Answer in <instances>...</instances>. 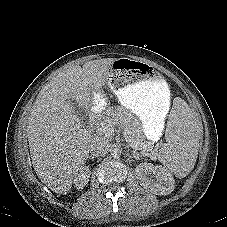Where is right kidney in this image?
Instances as JSON below:
<instances>
[{
  "label": "right kidney",
  "mask_w": 227,
  "mask_h": 227,
  "mask_svg": "<svg viewBox=\"0 0 227 227\" xmlns=\"http://www.w3.org/2000/svg\"><path fill=\"white\" fill-rule=\"evenodd\" d=\"M91 171L89 166H83L75 175L74 184L77 189H83L89 181Z\"/></svg>",
  "instance_id": "right-kidney-1"
}]
</instances>
